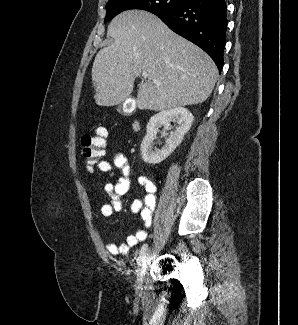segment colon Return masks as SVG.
Here are the masks:
<instances>
[{
  "mask_svg": "<svg viewBox=\"0 0 298 325\" xmlns=\"http://www.w3.org/2000/svg\"><path fill=\"white\" fill-rule=\"evenodd\" d=\"M106 135V129L97 128L93 133H87L81 139V156L90 172L93 171L104 154Z\"/></svg>",
  "mask_w": 298,
  "mask_h": 325,
  "instance_id": "obj_1",
  "label": "colon"
}]
</instances>
